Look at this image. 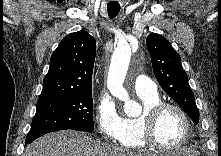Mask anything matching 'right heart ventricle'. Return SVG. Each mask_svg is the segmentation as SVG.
I'll use <instances>...</instances> for the list:
<instances>
[{
  "instance_id": "e07e8e85",
  "label": "right heart ventricle",
  "mask_w": 221,
  "mask_h": 156,
  "mask_svg": "<svg viewBox=\"0 0 221 156\" xmlns=\"http://www.w3.org/2000/svg\"><path fill=\"white\" fill-rule=\"evenodd\" d=\"M138 96L144 105V111L161 101L158 94ZM140 118L141 116L122 118V128L118 138V142L122 146L128 148H143L146 146L140 135Z\"/></svg>"
}]
</instances>
